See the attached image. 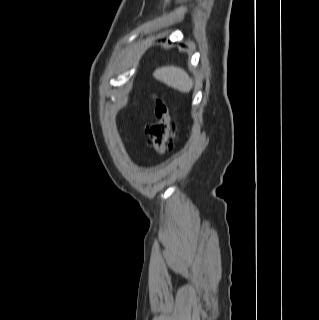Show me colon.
<instances>
[{
  "label": "colon",
  "mask_w": 319,
  "mask_h": 320,
  "mask_svg": "<svg viewBox=\"0 0 319 320\" xmlns=\"http://www.w3.org/2000/svg\"><path fill=\"white\" fill-rule=\"evenodd\" d=\"M155 120L149 126L150 146L158 154L163 155L173 147L177 131V123L171 116L166 102L161 99L155 101Z\"/></svg>",
  "instance_id": "1"
}]
</instances>
